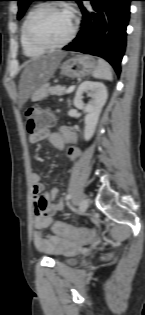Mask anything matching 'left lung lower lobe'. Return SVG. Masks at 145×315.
Returning <instances> with one entry per match:
<instances>
[{
    "label": "left lung lower lobe",
    "mask_w": 145,
    "mask_h": 315,
    "mask_svg": "<svg viewBox=\"0 0 145 315\" xmlns=\"http://www.w3.org/2000/svg\"><path fill=\"white\" fill-rule=\"evenodd\" d=\"M82 1L77 2L83 14L81 30L63 49L102 57L119 75L132 0H89L92 10L83 7Z\"/></svg>",
    "instance_id": "1"
}]
</instances>
